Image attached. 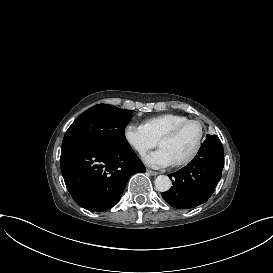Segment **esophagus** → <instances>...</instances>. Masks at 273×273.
Returning <instances> with one entry per match:
<instances>
[{"label":"esophagus","instance_id":"esophagus-1","mask_svg":"<svg viewBox=\"0 0 273 273\" xmlns=\"http://www.w3.org/2000/svg\"><path fill=\"white\" fill-rule=\"evenodd\" d=\"M146 172L150 175H158V172L147 169Z\"/></svg>","mask_w":273,"mask_h":273}]
</instances>
